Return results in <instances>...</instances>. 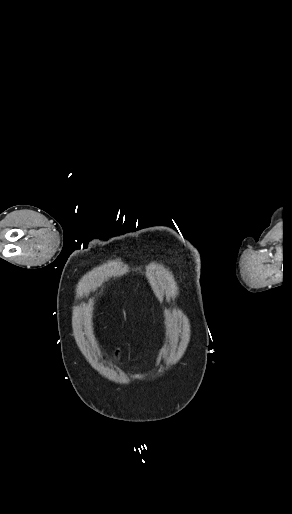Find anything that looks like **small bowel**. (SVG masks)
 <instances>
[{
	"label": "small bowel",
	"mask_w": 292,
	"mask_h": 514,
	"mask_svg": "<svg viewBox=\"0 0 292 514\" xmlns=\"http://www.w3.org/2000/svg\"><path fill=\"white\" fill-rule=\"evenodd\" d=\"M114 356H115L116 359H118L119 358V352H115Z\"/></svg>",
	"instance_id": "c3829d8e"
}]
</instances>
